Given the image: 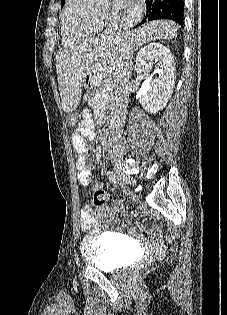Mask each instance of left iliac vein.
I'll use <instances>...</instances> for the list:
<instances>
[{
  "label": "left iliac vein",
  "mask_w": 227,
  "mask_h": 315,
  "mask_svg": "<svg viewBox=\"0 0 227 315\" xmlns=\"http://www.w3.org/2000/svg\"><path fill=\"white\" fill-rule=\"evenodd\" d=\"M123 182L120 180V185L122 184Z\"/></svg>",
  "instance_id": "left-iliac-vein-1"
}]
</instances>
